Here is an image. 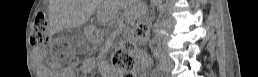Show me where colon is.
<instances>
[{
	"label": "colon",
	"mask_w": 258,
	"mask_h": 77,
	"mask_svg": "<svg viewBox=\"0 0 258 77\" xmlns=\"http://www.w3.org/2000/svg\"><path fill=\"white\" fill-rule=\"evenodd\" d=\"M147 38V27L137 25L131 30L129 40L123 42L112 58V67L116 71H129L134 67L133 50ZM32 40L36 44H46L50 40L49 25L46 15L37 14L32 29Z\"/></svg>",
	"instance_id": "5ec220e1"
}]
</instances>
